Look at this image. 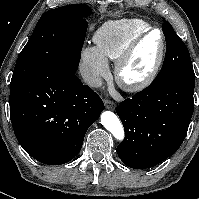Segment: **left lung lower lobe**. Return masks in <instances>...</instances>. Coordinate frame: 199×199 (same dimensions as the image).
<instances>
[{"label": "left lung lower lobe", "mask_w": 199, "mask_h": 199, "mask_svg": "<svg viewBox=\"0 0 199 199\" xmlns=\"http://www.w3.org/2000/svg\"><path fill=\"white\" fill-rule=\"evenodd\" d=\"M194 85L195 79H169L120 103L125 138L117 154L127 166L150 168L178 150L194 111Z\"/></svg>", "instance_id": "0a47b994"}]
</instances>
